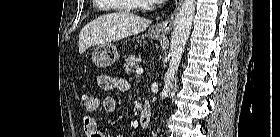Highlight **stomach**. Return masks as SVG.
<instances>
[{"label": "stomach", "mask_w": 280, "mask_h": 137, "mask_svg": "<svg viewBox=\"0 0 280 137\" xmlns=\"http://www.w3.org/2000/svg\"><path fill=\"white\" fill-rule=\"evenodd\" d=\"M163 33L157 31L154 27L148 30L147 36L152 39H160L163 37ZM118 59V52L116 47L111 44L98 45L93 53L92 60L93 63L99 68H105L112 65Z\"/></svg>", "instance_id": "0dacf381"}]
</instances>
